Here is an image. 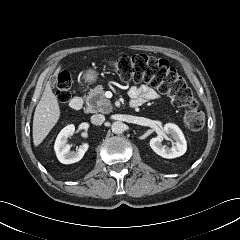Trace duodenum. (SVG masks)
I'll return each instance as SVG.
<instances>
[{"mask_svg": "<svg viewBox=\"0 0 240 240\" xmlns=\"http://www.w3.org/2000/svg\"><path fill=\"white\" fill-rule=\"evenodd\" d=\"M83 105V98L82 96H75L74 98H72V100L70 101V108L73 111H78L81 109ZM130 108L134 109L137 108V105L135 103H130Z\"/></svg>", "mask_w": 240, "mask_h": 240, "instance_id": "410a0bca", "label": "duodenum"}]
</instances>
